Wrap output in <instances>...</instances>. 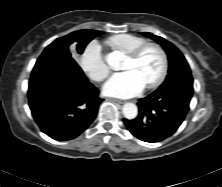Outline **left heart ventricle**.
I'll use <instances>...</instances> for the list:
<instances>
[{
    "label": "left heart ventricle",
    "instance_id": "obj_1",
    "mask_svg": "<svg viewBox=\"0 0 222 187\" xmlns=\"http://www.w3.org/2000/svg\"><path fill=\"white\" fill-rule=\"evenodd\" d=\"M161 64L159 52L154 48H148L137 61L126 58L122 69L134 71L143 84L147 85L158 76Z\"/></svg>",
    "mask_w": 222,
    "mask_h": 187
}]
</instances>
